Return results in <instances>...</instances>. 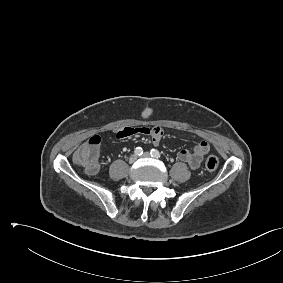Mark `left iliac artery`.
I'll return each instance as SVG.
<instances>
[{"instance_id":"44dca946","label":"left iliac artery","mask_w":283,"mask_h":283,"mask_svg":"<svg viewBox=\"0 0 283 283\" xmlns=\"http://www.w3.org/2000/svg\"><path fill=\"white\" fill-rule=\"evenodd\" d=\"M150 154L154 158H160V153L157 149H151Z\"/></svg>"}]
</instances>
